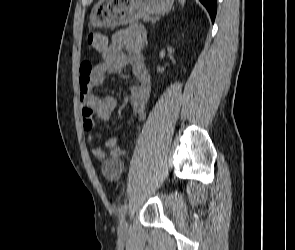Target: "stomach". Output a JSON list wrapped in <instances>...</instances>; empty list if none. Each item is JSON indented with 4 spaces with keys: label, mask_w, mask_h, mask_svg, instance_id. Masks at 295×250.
Returning a JSON list of instances; mask_svg holds the SVG:
<instances>
[{
    "label": "stomach",
    "mask_w": 295,
    "mask_h": 250,
    "mask_svg": "<svg viewBox=\"0 0 295 250\" xmlns=\"http://www.w3.org/2000/svg\"><path fill=\"white\" fill-rule=\"evenodd\" d=\"M174 0H99L92 8L90 23L94 27H112L153 14L170 11Z\"/></svg>",
    "instance_id": "obj_1"
}]
</instances>
